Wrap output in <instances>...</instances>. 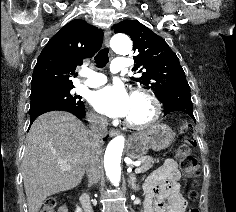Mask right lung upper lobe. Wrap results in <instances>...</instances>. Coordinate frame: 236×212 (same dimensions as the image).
I'll use <instances>...</instances> for the list:
<instances>
[{
    "label": "right lung upper lobe",
    "mask_w": 236,
    "mask_h": 212,
    "mask_svg": "<svg viewBox=\"0 0 236 212\" xmlns=\"http://www.w3.org/2000/svg\"><path fill=\"white\" fill-rule=\"evenodd\" d=\"M103 41L101 29L75 19L61 28L47 43L35 65L31 92L73 86L75 69L83 59L91 58Z\"/></svg>",
    "instance_id": "1"
}]
</instances>
